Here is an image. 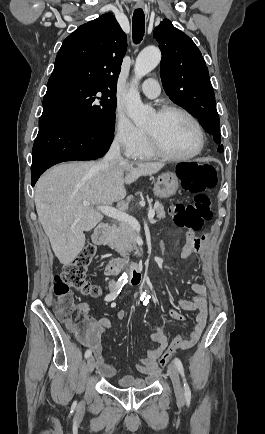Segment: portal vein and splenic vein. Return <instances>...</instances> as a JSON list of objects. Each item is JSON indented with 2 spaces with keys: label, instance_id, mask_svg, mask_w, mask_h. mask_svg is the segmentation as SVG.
Instances as JSON below:
<instances>
[{
  "label": "portal vein and splenic vein",
  "instance_id": "portal-vein-and-splenic-vein-1",
  "mask_svg": "<svg viewBox=\"0 0 265 434\" xmlns=\"http://www.w3.org/2000/svg\"><path fill=\"white\" fill-rule=\"evenodd\" d=\"M83 206H90V202H82ZM97 210H100L102 214L108 216V218H114V220H119V222H128L132 228L135 230H140V224L137 222L136 218L133 216H129L126 212H120V210H116V208H112V206H97ZM155 216V210H149L148 218L151 222Z\"/></svg>",
  "mask_w": 265,
  "mask_h": 434
}]
</instances>
